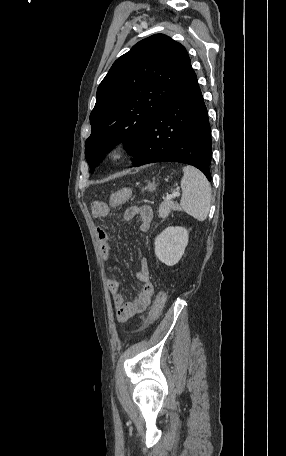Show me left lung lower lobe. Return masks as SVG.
I'll use <instances>...</instances> for the list:
<instances>
[{"mask_svg":"<svg viewBox=\"0 0 286 456\" xmlns=\"http://www.w3.org/2000/svg\"><path fill=\"white\" fill-rule=\"evenodd\" d=\"M131 155L133 167L180 162L198 168L211 181V129L192 67L155 114Z\"/></svg>","mask_w":286,"mask_h":456,"instance_id":"0a47b994","label":"left lung lower lobe"}]
</instances>
